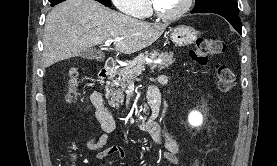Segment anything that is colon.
<instances>
[{"mask_svg": "<svg viewBox=\"0 0 277 166\" xmlns=\"http://www.w3.org/2000/svg\"><path fill=\"white\" fill-rule=\"evenodd\" d=\"M226 43L221 39L212 37H199L194 43V47L190 52L193 61L199 65H206L211 57L217 56L225 52ZM68 77V93L67 98L72 99L76 92L78 82V71L75 67H70L67 71ZM215 81L218 90L221 93L229 92L235 84V76L233 71L225 64H217L215 66Z\"/></svg>", "mask_w": 277, "mask_h": 166, "instance_id": "1", "label": "colon"}]
</instances>
